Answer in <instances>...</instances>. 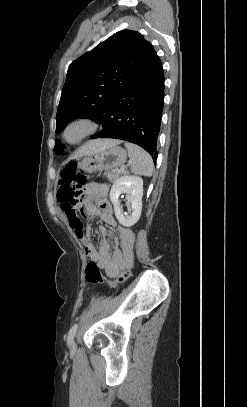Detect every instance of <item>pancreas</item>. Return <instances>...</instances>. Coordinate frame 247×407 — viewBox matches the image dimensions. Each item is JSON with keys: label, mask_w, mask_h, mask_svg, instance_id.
I'll list each match as a JSON object with an SVG mask.
<instances>
[{"label": "pancreas", "mask_w": 247, "mask_h": 407, "mask_svg": "<svg viewBox=\"0 0 247 407\" xmlns=\"http://www.w3.org/2000/svg\"><path fill=\"white\" fill-rule=\"evenodd\" d=\"M125 171H116V170H112V171H108L105 172L104 175L108 178V180L110 182L115 181L120 175L124 174Z\"/></svg>", "instance_id": "1"}]
</instances>
